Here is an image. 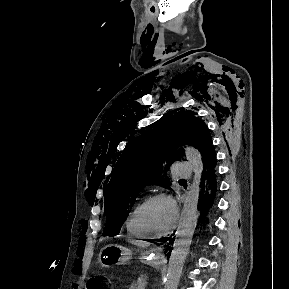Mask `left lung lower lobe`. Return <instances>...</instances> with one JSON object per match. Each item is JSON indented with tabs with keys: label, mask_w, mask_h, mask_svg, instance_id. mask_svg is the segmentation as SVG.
<instances>
[{
	"label": "left lung lower lobe",
	"mask_w": 289,
	"mask_h": 289,
	"mask_svg": "<svg viewBox=\"0 0 289 289\" xmlns=\"http://www.w3.org/2000/svg\"><path fill=\"white\" fill-rule=\"evenodd\" d=\"M203 171L201 177L202 191L199 195L198 210H200L203 221L213 206L217 192V170H216V154L215 150H211L203 161ZM175 237L162 239L159 241L174 242Z\"/></svg>",
	"instance_id": "1"
}]
</instances>
